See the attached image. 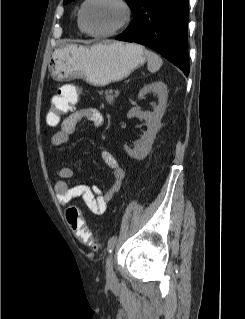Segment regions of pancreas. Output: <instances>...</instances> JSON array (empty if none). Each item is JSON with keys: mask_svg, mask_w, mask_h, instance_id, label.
Listing matches in <instances>:
<instances>
[{"mask_svg": "<svg viewBox=\"0 0 245 319\" xmlns=\"http://www.w3.org/2000/svg\"><path fill=\"white\" fill-rule=\"evenodd\" d=\"M117 94H113L112 90H106L105 91V99L107 101V103L109 104H113L115 99L117 98Z\"/></svg>", "mask_w": 245, "mask_h": 319, "instance_id": "obj_1", "label": "pancreas"}]
</instances>
